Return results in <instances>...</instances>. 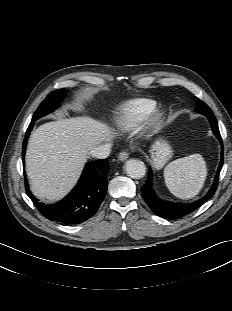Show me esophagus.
Listing matches in <instances>:
<instances>
[{"mask_svg": "<svg viewBox=\"0 0 232 311\" xmlns=\"http://www.w3.org/2000/svg\"><path fill=\"white\" fill-rule=\"evenodd\" d=\"M128 157H129V153H128L127 151H122V152H120L119 155H118V159H119L120 161H125V160L128 159Z\"/></svg>", "mask_w": 232, "mask_h": 311, "instance_id": "esophagus-1", "label": "esophagus"}]
</instances>
